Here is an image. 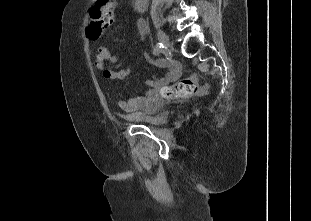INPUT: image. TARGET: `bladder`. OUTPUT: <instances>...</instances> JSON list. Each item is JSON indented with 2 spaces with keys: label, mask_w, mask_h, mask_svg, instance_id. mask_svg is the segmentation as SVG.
<instances>
[{
  "label": "bladder",
  "mask_w": 311,
  "mask_h": 221,
  "mask_svg": "<svg viewBox=\"0 0 311 221\" xmlns=\"http://www.w3.org/2000/svg\"><path fill=\"white\" fill-rule=\"evenodd\" d=\"M163 107L164 102L153 103L147 109L140 110L132 116L139 118V122L143 125H162L167 121Z\"/></svg>",
  "instance_id": "1"
}]
</instances>
